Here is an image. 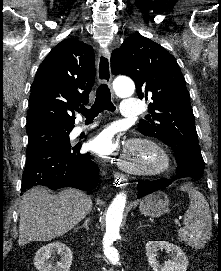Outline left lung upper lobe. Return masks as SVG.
Here are the masks:
<instances>
[{"mask_svg":"<svg viewBox=\"0 0 221 271\" xmlns=\"http://www.w3.org/2000/svg\"><path fill=\"white\" fill-rule=\"evenodd\" d=\"M111 70L131 77L140 99L151 97V115L140 121L138 130L186 150L204 164L190 95L176 59L156 42L134 34L112 52Z\"/></svg>","mask_w":221,"mask_h":271,"instance_id":"1","label":"left lung upper lobe"}]
</instances>
